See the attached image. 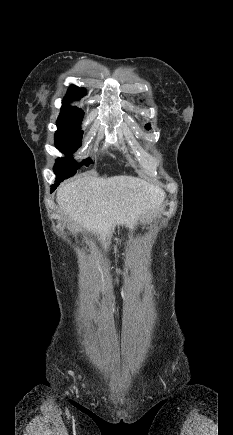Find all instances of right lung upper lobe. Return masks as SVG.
Segmentation results:
<instances>
[{"mask_svg":"<svg viewBox=\"0 0 233 435\" xmlns=\"http://www.w3.org/2000/svg\"><path fill=\"white\" fill-rule=\"evenodd\" d=\"M86 94L84 88H79L77 86L72 85L68 92L66 98L62 102L61 113L58 117L57 123L67 122L76 118H83L84 112L82 109L77 107H71L69 102L74 100H79Z\"/></svg>","mask_w":233,"mask_h":435,"instance_id":"cb5924a9","label":"right lung upper lobe"}]
</instances>
